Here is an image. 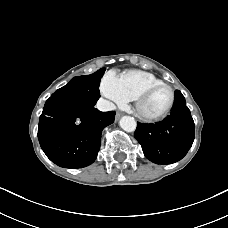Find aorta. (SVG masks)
I'll list each match as a JSON object with an SVG mask.
<instances>
[{"instance_id": "obj_1", "label": "aorta", "mask_w": 228, "mask_h": 228, "mask_svg": "<svg viewBox=\"0 0 228 228\" xmlns=\"http://www.w3.org/2000/svg\"><path fill=\"white\" fill-rule=\"evenodd\" d=\"M120 127L126 132H133L136 129L137 123L131 116H123L120 119Z\"/></svg>"}]
</instances>
